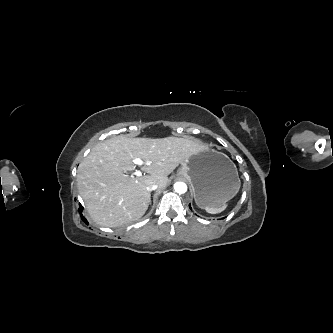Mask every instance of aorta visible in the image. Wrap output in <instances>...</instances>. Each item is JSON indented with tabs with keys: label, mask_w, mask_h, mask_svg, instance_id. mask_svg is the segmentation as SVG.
<instances>
[{
	"label": "aorta",
	"mask_w": 333,
	"mask_h": 333,
	"mask_svg": "<svg viewBox=\"0 0 333 333\" xmlns=\"http://www.w3.org/2000/svg\"><path fill=\"white\" fill-rule=\"evenodd\" d=\"M175 192L183 194L187 191V185L184 182H177L174 184Z\"/></svg>",
	"instance_id": "obj_1"
}]
</instances>
